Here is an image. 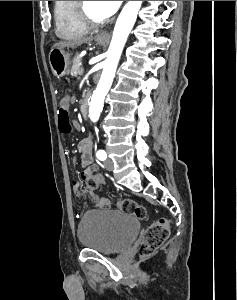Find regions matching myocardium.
<instances>
[{"instance_id": "f54148a6", "label": "myocardium", "mask_w": 237, "mask_h": 300, "mask_svg": "<svg viewBox=\"0 0 237 300\" xmlns=\"http://www.w3.org/2000/svg\"><path fill=\"white\" fill-rule=\"evenodd\" d=\"M75 11L78 20L88 28H95L105 25L109 20H98L93 18L87 11L85 1H76Z\"/></svg>"}]
</instances>
